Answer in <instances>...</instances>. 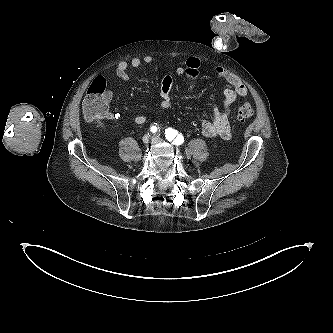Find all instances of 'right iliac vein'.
<instances>
[{
    "label": "right iliac vein",
    "instance_id": "1",
    "mask_svg": "<svg viewBox=\"0 0 333 333\" xmlns=\"http://www.w3.org/2000/svg\"><path fill=\"white\" fill-rule=\"evenodd\" d=\"M143 142L145 143V144H147V143H149L150 141H152V138H151V136L149 135V134H146V135H144L143 136Z\"/></svg>",
    "mask_w": 333,
    "mask_h": 333
}]
</instances>
